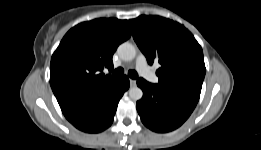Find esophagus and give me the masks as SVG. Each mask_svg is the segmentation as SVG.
<instances>
[{"label":"esophagus","instance_id":"esophagus-1","mask_svg":"<svg viewBox=\"0 0 261 150\" xmlns=\"http://www.w3.org/2000/svg\"><path fill=\"white\" fill-rule=\"evenodd\" d=\"M130 86H131V87L136 86V80L130 79Z\"/></svg>","mask_w":261,"mask_h":150}]
</instances>
